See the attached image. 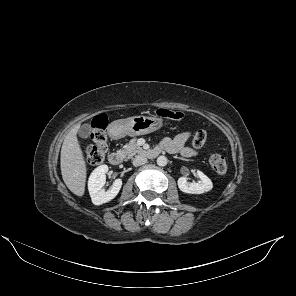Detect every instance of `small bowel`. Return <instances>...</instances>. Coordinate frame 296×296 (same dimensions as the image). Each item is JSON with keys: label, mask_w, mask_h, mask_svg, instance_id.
I'll return each mask as SVG.
<instances>
[{"label": "small bowel", "mask_w": 296, "mask_h": 296, "mask_svg": "<svg viewBox=\"0 0 296 296\" xmlns=\"http://www.w3.org/2000/svg\"><path fill=\"white\" fill-rule=\"evenodd\" d=\"M191 136V131H184L173 138H164L161 142V146L170 154H181L184 157H194L199 154L198 150L186 146V143Z\"/></svg>", "instance_id": "obj_1"}]
</instances>
